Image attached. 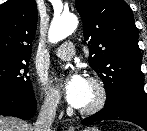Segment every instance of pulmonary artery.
Wrapping results in <instances>:
<instances>
[{
    "instance_id": "e3ab8cb5",
    "label": "pulmonary artery",
    "mask_w": 147,
    "mask_h": 131,
    "mask_svg": "<svg viewBox=\"0 0 147 131\" xmlns=\"http://www.w3.org/2000/svg\"><path fill=\"white\" fill-rule=\"evenodd\" d=\"M74 54L75 46L70 41L64 42L55 50V55L62 60H70Z\"/></svg>"
}]
</instances>
